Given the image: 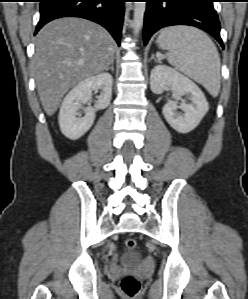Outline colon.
Instances as JSON below:
<instances>
[{
	"label": "colon",
	"instance_id": "1",
	"mask_svg": "<svg viewBox=\"0 0 248 299\" xmlns=\"http://www.w3.org/2000/svg\"><path fill=\"white\" fill-rule=\"evenodd\" d=\"M136 245L137 240L135 238H127L125 240V247L128 250L134 249ZM120 287L125 296L134 297L140 289V282L135 276L126 275L122 278Z\"/></svg>",
	"mask_w": 248,
	"mask_h": 299
}]
</instances>
